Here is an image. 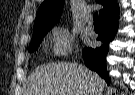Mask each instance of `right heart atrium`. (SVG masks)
I'll use <instances>...</instances> for the list:
<instances>
[{"mask_svg":"<svg viewBox=\"0 0 135 95\" xmlns=\"http://www.w3.org/2000/svg\"><path fill=\"white\" fill-rule=\"evenodd\" d=\"M52 53L58 57L68 55L74 46V36L65 27H55L51 31Z\"/></svg>","mask_w":135,"mask_h":95,"instance_id":"obj_1","label":"right heart atrium"}]
</instances>
